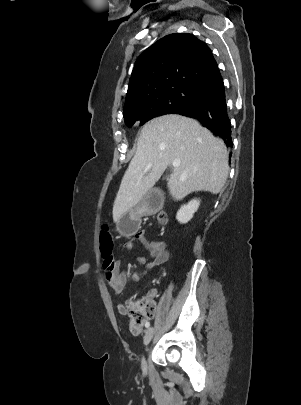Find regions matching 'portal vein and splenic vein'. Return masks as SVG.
Returning a JSON list of instances; mask_svg holds the SVG:
<instances>
[{
  "mask_svg": "<svg viewBox=\"0 0 301 405\" xmlns=\"http://www.w3.org/2000/svg\"><path fill=\"white\" fill-rule=\"evenodd\" d=\"M172 165H173V167H177V166L180 165V161H179V160H174V161L172 162ZM150 168H151V164H147L146 167H145V170L147 171V170H149Z\"/></svg>",
  "mask_w": 301,
  "mask_h": 405,
  "instance_id": "1",
  "label": "portal vein and splenic vein"
}]
</instances>
